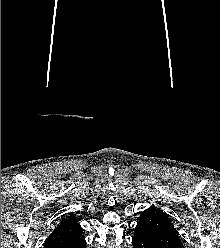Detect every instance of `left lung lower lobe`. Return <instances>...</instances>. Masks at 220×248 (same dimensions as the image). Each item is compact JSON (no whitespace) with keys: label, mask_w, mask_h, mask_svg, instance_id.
<instances>
[{"label":"left lung lower lobe","mask_w":220,"mask_h":248,"mask_svg":"<svg viewBox=\"0 0 220 248\" xmlns=\"http://www.w3.org/2000/svg\"><path fill=\"white\" fill-rule=\"evenodd\" d=\"M132 244L133 248H163L159 243L153 240L141 227L135 228Z\"/></svg>","instance_id":"0a47b994"}]
</instances>
